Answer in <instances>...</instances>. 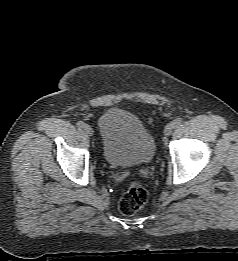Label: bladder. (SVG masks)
<instances>
[{
    "mask_svg": "<svg viewBox=\"0 0 238 261\" xmlns=\"http://www.w3.org/2000/svg\"><path fill=\"white\" fill-rule=\"evenodd\" d=\"M105 161L127 167L152 160L156 145L152 134L134 114L119 108L106 110L98 121Z\"/></svg>",
    "mask_w": 238,
    "mask_h": 261,
    "instance_id": "1",
    "label": "bladder"
}]
</instances>
